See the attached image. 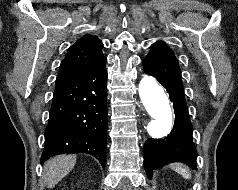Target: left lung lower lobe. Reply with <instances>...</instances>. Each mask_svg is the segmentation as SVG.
Segmentation results:
<instances>
[{"instance_id": "left-lung-lower-lobe-1", "label": "left lung lower lobe", "mask_w": 238, "mask_h": 190, "mask_svg": "<svg viewBox=\"0 0 238 190\" xmlns=\"http://www.w3.org/2000/svg\"><path fill=\"white\" fill-rule=\"evenodd\" d=\"M143 70L166 88L173 103L175 122L170 134L162 139L150 138L144 145V167L152 170L171 162H184L196 169L197 151L193 144V126L185 100L181 71L175 56L150 51L143 59Z\"/></svg>"}]
</instances>
